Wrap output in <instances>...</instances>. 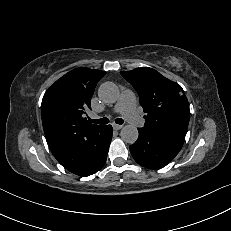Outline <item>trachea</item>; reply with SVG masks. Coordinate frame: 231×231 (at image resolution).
Returning <instances> with one entry per match:
<instances>
[{"label":"trachea","mask_w":231,"mask_h":231,"mask_svg":"<svg viewBox=\"0 0 231 231\" xmlns=\"http://www.w3.org/2000/svg\"><path fill=\"white\" fill-rule=\"evenodd\" d=\"M90 122L103 125L109 123V119L108 118L90 119ZM115 122L121 125L124 123V120L122 118H117L115 119Z\"/></svg>","instance_id":"1"}]
</instances>
